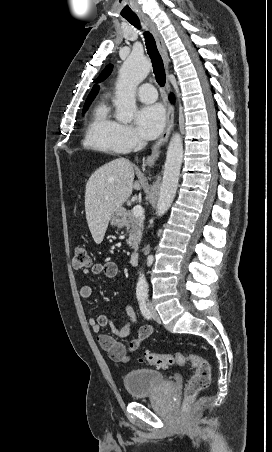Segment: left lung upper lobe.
I'll use <instances>...</instances> for the list:
<instances>
[{"label": "left lung upper lobe", "mask_w": 272, "mask_h": 452, "mask_svg": "<svg viewBox=\"0 0 272 452\" xmlns=\"http://www.w3.org/2000/svg\"><path fill=\"white\" fill-rule=\"evenodd\" d=\"M111 70H112V65H110V64L107 65V66L105 67V69L102 71V73L99 75V77L97 78V81L101 82V81H103L105 78H107L108 75L110 74Z\"/></svg>", "instance_id": "5c2ea615"}]
</instances>
